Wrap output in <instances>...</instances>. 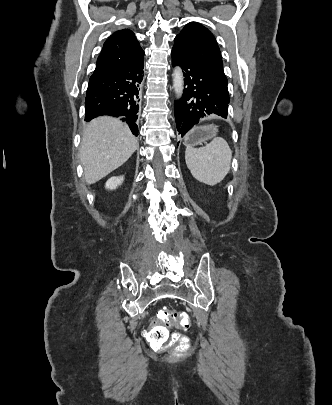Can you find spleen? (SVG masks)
I'll use <instances>...</instances> for the list:
<instances>
[{
    "label": "spleen",
    "mask_w": 332,
    "mask_h": 405,
    "mask_svg": "<svg viewBox=\"0 0 332 405\" xmlns=\"http://www.w3.org/2000/svg\"><path fill=\"white\" fill-rule=\"evenodd\" d=\"M232 151L227 141L215 137L204 147H187L185 161L192 176L199 182L216 185L229 173Z\"/></svg>",
    "instance_id": "3e777b00"
}]
</instances>
